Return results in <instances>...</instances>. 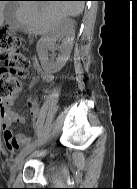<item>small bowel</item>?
Masks as SVG:
<instances>
[{
	"instance_id": "small-bowel-1",
	"label": "small bowel",
	"mask_w": 137,
	"mask_h": 189,
	"mask_svg": "<svg viewBox=\"0 0 137 189\" xmlns=\"http://www.w3.org/2000/svg\"><path fill=\"white\" fill-rule=\"evenodd\" d=\"M35 71L38 76L37 79H41L46 83L53 81V75L49 72H46L41 68L40 65L35 66ZM40 108L37 102H31L30 104V115L32 123L34 126L38 124ZM0 119L3 132V138L6 143L7 149L11 152H14L23 146L30 140L23 133H14L12 126L14 123H25V118L19 113L11 109L9 101L0 103Z\"/></svg>"
}]
</instances>
